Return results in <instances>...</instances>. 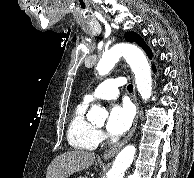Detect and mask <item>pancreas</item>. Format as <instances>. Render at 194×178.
<instances>
[{"instance_id": "cf45deb5", "label": "pancreas", "mask_w": 194, "mask_h": 178, "mask_svg": "<svg viewBox=\"0 0 194 178\" xmlns=\"http://www.w3.org/2000/svg\"><path fill=\"white\" fill-rule=\"evenodd\" d=\"M77 178H88L87 176H79Z\"/></svg>"}]
</instances>
